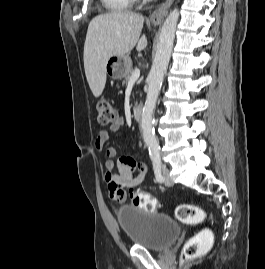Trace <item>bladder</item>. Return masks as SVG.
<instances>
[{
    "instance_id": "obj_1",
    "label": "bladder",
    "mask_w": 265,
    "mask_h": 269,
    "mask_svg": "<svg viewBox=\"0 0 265 269\" xmlns=\"http://www.w3.org/2000/svg\"><path fill=\"white\" fill-rule=\"evenodd\" d=\"M120 228L132 245L153 251H165L181 235V227L172 218L135 206H122L116 211Z\"/></svg>"
}]
</instances>
